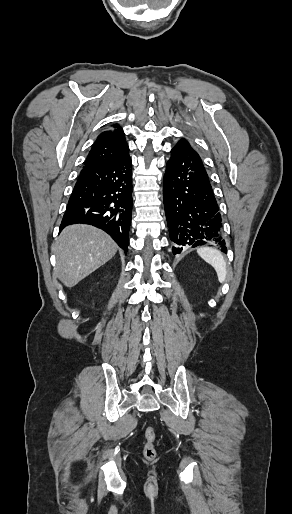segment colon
Listing matches in <instances>:
<instances>
[{"label":"colon","mask_w":292,"mask_h":514,"mask_svg":"<svg viewBox=\"0 0 292 514\" xmlns=\"http://www.w3.org/2000/svg\"><path fill=\"white\" fill-rule=\"evenodd\" d=\"M143 456L147 460L156 458V430L153 425H147L144 430Z\"/></svg>","instance_id":"colon-1"}]
</instances>
